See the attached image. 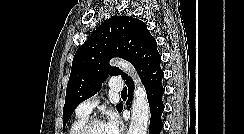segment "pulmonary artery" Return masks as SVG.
Returning a JSON list of instances; mask_svg holds the SVG:
<instances>
[{
    "instance_id": "pulmonary-artery-1",
    "label": "pulmonary artery",
    "mask_w": 244,
    "mask_h": 134,
    "mask_svg": "<svg viewBox=\"0 0 244 134\" xmlns=\"http://www.w3.org/2000/svg\"><path fill=\"white\" fill-rule=\"evenodd\" d=\"M124 84L120 79H114L110 82V89L113 92H122ZM97 104V100L94 98L88 99L82 102L76 109L77 114L83 116H89L92 112V109Z\"/></svg>"
}]
</instances>
